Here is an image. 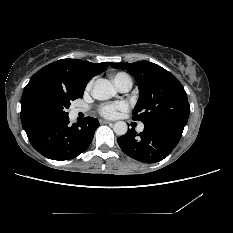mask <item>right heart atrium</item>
<instances>
[{"label":"right heart atrium","instance_id":"right-heart-atrium-1","mask_svg":"<svg viewBox=\"0 0 233 233\" xmlns=\"http://www.w3.org/2000/svg\"><path fill=\"white\" fill-rule=\"evenodd\" d=\"M93 81L89 82V84L87 85V90H90L92 87Z\"/></svg>","mask_w":233,"mask_h":233}]
</instances>
